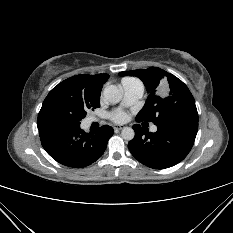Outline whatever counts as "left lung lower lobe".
I'll return each mask as SVG.
<instances>
[{"label":"left lung lower lobe","mask_w":233,"mask_h":233,"mask_svg":"<svg viewBox=\"0 0 233 233\" xmlns=\"http://www.w3.org/2000/svg\"><path fill=\"white\" fill-rule=\"evenodd\" d=\"M135 137L128 143L132 155L142 164L153 169L172 167L190 152L198 124L158 126L155 133L133 125Z\"/></svg>","instance_id":"0a47b994"}]
</instances>
